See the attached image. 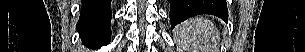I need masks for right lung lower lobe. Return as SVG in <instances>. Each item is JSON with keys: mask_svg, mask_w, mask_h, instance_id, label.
Returning a JSON list of instances; mask_svg holds the SVG:
<instances>
[{"mask_svg": "<svg viewBox=\"0 0 305 52\" xmlns=\"http://www.w3.org/2000/svg\"><path fill=\"white\" fill-rule=\"evenodd\" d=\"M111 0H82L76 30L82 43L101 47L110 42Z\"/></svg>", "mask_w": 305, "mask_h": 52, "instance_id": "right-lung-lower-lobe-1", "label": "right lung lower lobe"}]
</instances>
